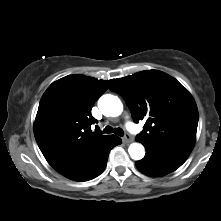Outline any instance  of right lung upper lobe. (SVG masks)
I'll list each match as a JSON object with an SVG mask.
<instances>
[{
    "label": "right lung upper lobe",
    "instance_id": "obj_1",
    "mask_svg": "<svg viewBox=\"0 0 221 221\" xmlns=\"http://www.w3.org/2000/svg\"><path fill=\"white\" fill-rule=\"evenodd\" d=\"M112 82L75 74L55 81L45 91L34 134L53 168L85 157L110 138L90 128L97 123L91 115L92 106Z\"/></svg>",
    "mask_w": 221,
    "mask_h": 221
}]
</instances>
